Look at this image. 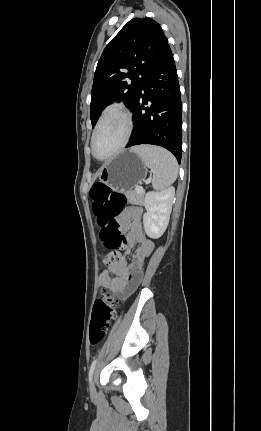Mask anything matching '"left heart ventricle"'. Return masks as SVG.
<instances>
[{
  "mask_svg": "<svg viewBox=\"0 0 261 431\" xmlns=\"http://www.w3.org/2000/svg\"><path fill=\"white\" fill-rule=\"evenodd\" d=\"M126 125L118 114L109 115L101 125L95 138L94 149L98 157H106L114 152L123 140Z\"/></svg>",
  "mask_w": 261,
  "mask_h": 431,
  "instance_id": "1",
  "label": "left heart ventricle"
}]
</instances>
